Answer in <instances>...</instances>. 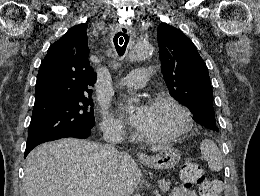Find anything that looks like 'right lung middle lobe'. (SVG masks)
<instances>
[{"instance_id": "dd1d6c3e", "label": "right lung middle lobe", "mask_w": 260, "mask_h": 196, "mask_svg": "<svg viewBox=\"0 0 260 196\" xmlns=\"http://www.w3.org/2000/svg\"><path fill=\"white\" fill-rule=\"evenodd\" d=\"M92 92L62 95L35 105L28 130L26 148L91 130L95 125Z\"/></svg>"}]
</instances>
